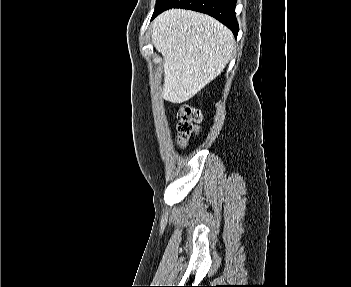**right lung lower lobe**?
<instances>
[{"instance_id":"obj_1","label":"right lung lower lobe","mask_w":351,"mask_h":287,"mask_svg":"<svg viewBox=\"0 0 351 287\" xmlns=\"http://www.w3.org/2000/svg\"><path fill=\"white\" fill-rule=\"evenodd\" d=\"M236 0H161L155 8L152 19L170 8H184L208 14L228 28L235 37L238 34V23L235 17Z\"/></svg>"}]
</instances>
